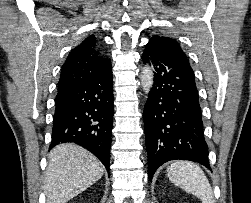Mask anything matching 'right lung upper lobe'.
Instances as JSON below:
<instances>
[{
    "label": "right lung upper lobe",
    "instance_id": "obj_1",
    "mask_svg": "<svg viewBox=\"0 0 251 203\" xmlns=\"http://www.w3.org/2000/svg\"><path fill=\"white\" fill-rule=\"evenodd\" d=\"M95 48L96 38L91 35L70 52L62 66L57 96L101 73L111 64Z\"/></svg>",
    "mask_w": 251,
    "mask_h": 203
}]
</instances>
